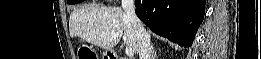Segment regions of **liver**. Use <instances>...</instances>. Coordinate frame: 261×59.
<instances>
[{"instance_id": "6515ba94", "label": "liver", "mask_w": 261, "mask_h": 59, "mask_svg": "<svg viewBox=\"0 0 261 59\" xmlns=\"http://www.w3.org/2000/svg\"><path fill=\"white\" fill-rule=\"evenodd\" d=\"M72 37L78 36L100 48H114L123 36L124 44L139 52L136 33L125 12L118 7L85 5L74 10L69 19Z\"/></svg>"}]
</instances>
